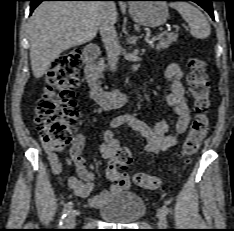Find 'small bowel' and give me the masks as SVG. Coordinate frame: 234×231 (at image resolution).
Segmentation results:
<instances>
[{
    "instance_id": "small-bowel-1",
    "label": "small bowel",
    "mask_w": 234,
    "mask_h": 231,
    "mask_svg": "<svg viewBox=\"0 0 234 231\" xmlns=\"http://www.w3.org/2000/svg\"><path fill=\"white\" fill-rule=\"evenodd\" d=\"M165 75L171 84V92L165 96V102L178 115L175 131L172 134H167L170 130V123L167 119H162L153 126H149L131 115H123L112 120L110 128L103 134L100 145V154L107 163L105 175L110 181V185L99 194L92 195L95 187V175L86 168L84 158L81 155L85 139L82 135L75 137L70 149V159L76 166L77 177H69L67 185L77 196L88 198L91 207L98 208L103 206L120 193L129 182L128 176L120 173L118 170L117 153L120 145L112 129L128 124L134 131L139 133L143 141L144 150L154 154L174 147L179 137L187 131L192 115L185 97V90L182 84L183 74L180 66L175 63L170 64L165 71ZM45 149L48 152L52 171L54 174H60L62 172V164L58 156L51 151L48 144H45Z\"/></svg>"
}]
</instances>
